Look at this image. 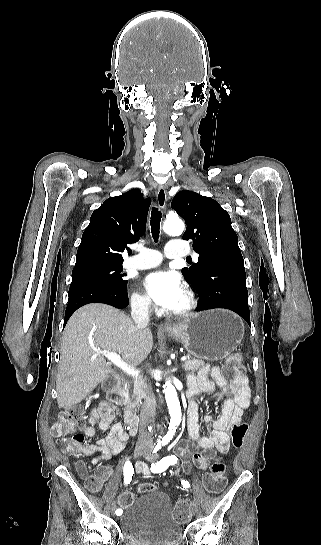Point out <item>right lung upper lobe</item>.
I'll use <instances>...</instances> for the list:
<instances>
[{
    "instance_id": "obj_1",
    "label": "right lung upper lobe",
    "mask_w": 321,
    "mask_h": 545,
    "mask_svg": "<svg viewBox=\"0 0 321 545\" xmlns=\"http://www.w3.org/2000/svg\"><path fill=\"white\" fill-rule=\"evenodd\" d=\"M151 200L138 189L108 198L91 217L78 247L75 268L122 264L127 244L135 243L146 230Z\"/></svg>"
}]
</instances>
